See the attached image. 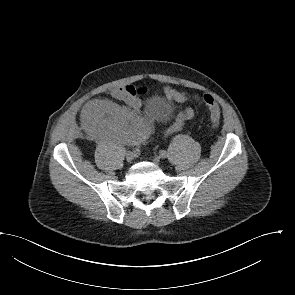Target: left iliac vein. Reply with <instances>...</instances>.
Segmentation results:
<instances>
[{"instance_id": "obj_1", "label": "left iliac vein", "mask_w": 295, "mask_h": 295, "mask_svg": "<svg viewBox=\"0 0 295 295\" xmlns=\"http://www.w3.org/2000/svg\"><path fill=\"white\" fill-rule=\"evenodd\" d=\"M160 160H161V157H160V156H154V157H153V162H154L155 164H159V163H160Z\"/></svg>"}]
</instances>
